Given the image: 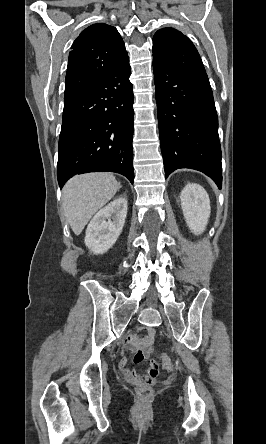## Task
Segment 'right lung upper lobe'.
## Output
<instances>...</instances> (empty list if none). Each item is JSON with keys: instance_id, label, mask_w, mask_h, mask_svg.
I'll return each instance as SVG.
<instances>
[{"instance_id": "right-lung-upper-lobe-1", "label": "right lung upper lobe", "mask_w": 266, "mask_h": 444, "mask_svg": "<svg viewBox=\"0 0 266 444\" xmlns=\"http://www.w3.org/2000/svg\"><path fill=\"white\" fill-rule=\"evenodd\" d=\"M69 53L64 103L88 91L128 59L117 29L98 23L84 29Z\"/></svg>"}]
</instances>
